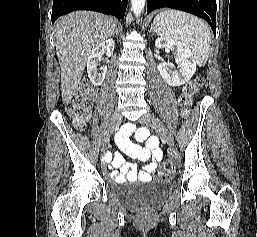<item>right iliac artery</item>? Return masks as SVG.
<instances>
[{
	"mask_svg": "<svg viewBox=\"0 0 257 237\" xmlns=\"http://www.w3.org/2000/svg\"><path fill=\"white\" fill-rule=\"evenodd\" d=\"M121 134V130L116 134V136ZM106 159H108V155L106 156Z\"/></svg>",
	"mask_w": 257,
	"mask_h": 237,
	"instance_id": "82829eb1",
	"label": "right iliac artery"
}]
</instances>
